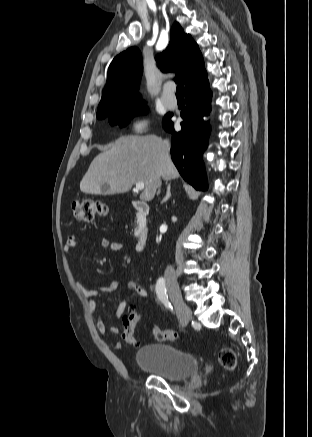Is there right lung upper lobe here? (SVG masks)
Here are the masks:
<instances>
[{
  "mask_svg": "<svg viewBox=\"0 0 312 437\" xmlns=\"http://www.w3.org/2000/svg\"><path fill=\"white\" fill-rule=\"evenodd\" d=\"M156 61L162 71H176L175 81L184 82L185 89L207 75L198 45L178 23L171 28L168 48L156 56ZM142 72V55L138 48L131 47L116 56L108 69L97 117L127 104L144 103L136 92Z\"/></svg>",
  "mask_w": 312,
  "mask_h": 437,
  "instance_id": "1",
  "label": "right lung upper lobe"
}]
</instances>
